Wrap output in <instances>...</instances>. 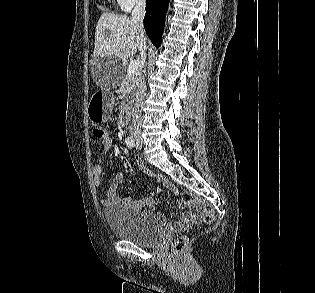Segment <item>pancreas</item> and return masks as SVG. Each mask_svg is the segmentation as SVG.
I'll list each match as a JSON object with an SVG mask.
<instances>
[{"mask_svg":"<svg viewBox=\"0 0 315 293\" xmlns=\"http://www.w3.org/2000/svg\"><path fill=\"white\" fill-rule=\"evenodd\" d=\"M137 73H133L131 75H126V77L122 80L121 86L119 89V93L122 95V108L126 106V98L128 95L133 94L134 91V82L136 79Z\"/></svg>","mask_w":315,"mask_h":293,"instance_id":"pancreas-1","label":"pancreas"}]
</instances>
